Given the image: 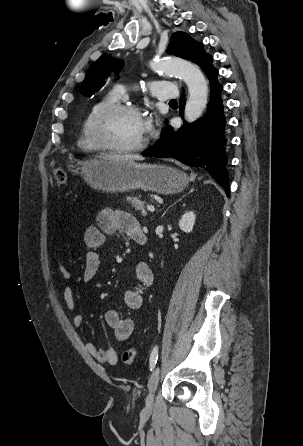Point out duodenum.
<instances>
[{"instance_id": "1", "label": "duodenum", "mask_w": 303, "mask_h": 446, "mask_svg": "<svg viewBox=\"0 0 303 446\" xmlns=\"http://www.w3.org/2000/svg\"><path fill=\"white\" fill-rule=\"evenodd\" d=\"M146 241H147V238H146V235H145V234L141 235V236L138 238V243H139V244H145Z\"/></svg>"}]
</instances>
